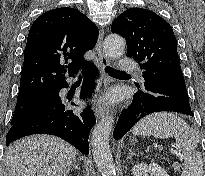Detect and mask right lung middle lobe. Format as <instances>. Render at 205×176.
<instances>
[{
    "label": "right lung middle lobe",
    "instance_id": "right-lung-middle-lobe-1",
    "mask_svg": "<svg viewBox=\"0 0 205 176\" xmlns=\"http://www.w3.org/2000/svg\"><path fill=\"white\" fill-rule=\"evenodd\" d=\"M55 90L56 89L46 90L27 97L17 98V103H16L14 115L11 120V125L17 123L32 108H34L40 102L44 101L47 97L51 96L55 92Z\"/></svg>",
    "mask_w": 205,
    "mask_h": 176
}]
</instances>
